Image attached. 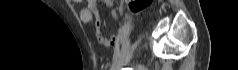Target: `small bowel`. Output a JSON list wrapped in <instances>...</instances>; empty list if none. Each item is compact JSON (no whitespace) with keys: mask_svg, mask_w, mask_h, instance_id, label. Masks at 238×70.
Here are the masks:
<instances>
[{"mask_svg":"<svg viewBox=\"0 0 238 70\" xmlns=\"http://www.w3.org/2000/svg\"><path fill=\"white\" fill-rule=\"evenodd\" d=\"M104 5L106 7H111L112 6V0H104L103 1ZM111 17L112 18H117V13L115 11H111ZM93 16H98V10L96 8V1L95 0H90L89 1V7L87 9H83L80 13V17L82 21L84 22H89ZM96 38L98 42L103 45V46H111L116 44L117 42V37L112 36L111 38H107L104 36L102 31L99 29V23L97 22V29H96Z\"/></svg>","mask_w":238,"mask_h":70,"instance_id":"obj_1","label":"small bowel"}]
</instances>
